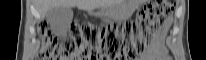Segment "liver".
Returning a JSON list of instances; mask_svg holds the SVG:
<instances>
[{
  "label": "liver",
  "instance_id": "1",
  "mask_svg": "<svg viewBox=\"0 0 206 60\" xmlns=\"http://www.w3.org/2000/svg\"><path fill=\"white\" fill-rule=\"evenodd\" d=\"M93 0H37L36 6L39 14L44 17L47 12L57 6L74 7L91 4Z\"/></svg>",
  "mask_w": 206,
  "mask_h": 60
}]
</instances>
